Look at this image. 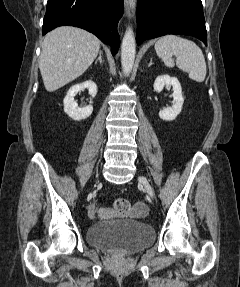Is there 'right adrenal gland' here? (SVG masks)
I'll list each match as a JSON object with an SVG mask.
<instances>
[{"label": "right adrenal gland", "mask_w": 240, "mask_h": 287, "mask_svg": "<svg viewBox=\"0 0 240 287\" xmlns=\"http://www.w3.org/2000/svg\"><path fill=\"white\" fill-rule=\"evenodd\" d=\"M98 61H99L100 63L103 62V60H102V51H101V50L99 51V57H98V59L95 61V64H96Z\"/></svg>", "instance_id": "1"}]
</instances>
